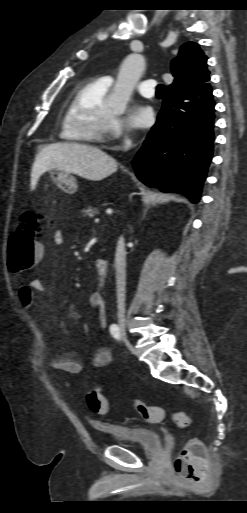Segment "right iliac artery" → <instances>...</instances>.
Segmentation results:
<instances>
[{"label":"right iliac artery","mask_w":247,"mask_h":513,"mask_svg":"<svg viewBox=\"0 0 247 513\" xmlns=\"http://www.w3.org/2000/svg\"><path fill=\"white\" fill-rule=\"evenodd\" d=\"M110 332H111L112 336H113L116 340H118V341H120V340H121L120 329H119V327H118L116 324H112V325L110 326Z\"/></svg>","instance_id":"obj_1"}]
</instances>
